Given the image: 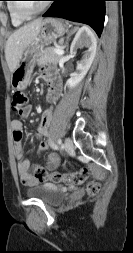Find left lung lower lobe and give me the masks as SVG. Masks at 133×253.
Wrapping results in <instances>:
<instances>
[{
    "label": "left lung lower lobe",
    "mask_w": 133,
    "mask_h": 253,
    "mask_svg": "<svg viewBox=\"0 0 133 253\" xmlns=\"http://www.w3.org/2000/svg\"><path fill=\"white\" fill-rule=\"evenodd\" d=\"M51 7L44 17H60L90 25L101 35L105 19V1L107 0H52Z\"/></svg>",
    "instance_id": "left-lung-lower-lobe-1"
}]
</instances>
